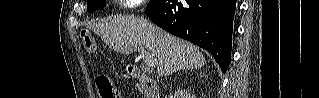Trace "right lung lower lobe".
<instances>
[{"label":"right lung lower lobe","mask_w":319,"mask_h":98,"mask_svg":"<svg viewBox=\"0 0 319 98\" xmlns=\"http://www.w3.org/2000/svg\"><path fill=\"white\" fill-rule=\"evenodd\" d=\"M235 7L236 0H151L147 15L169 33L209 51L226 72Z\"/></svg>","instance_id":"right-lung-lower-lobe-1"}]
</instances>
